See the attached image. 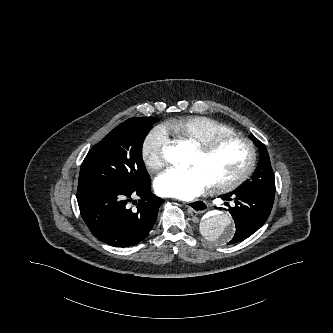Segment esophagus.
I'll list each match as a JSON object with an SVG mask.
<instances>
[{"label": "esophagus", "instance_id": "1", "mask_svg": "<svg viewBox=\"0 0 333 333\" xmlns=\"http://www.w3.org/2000/svg\"><path fill=\"white\" fill-rule=\"evenodd\" d=\"M184 205L193 211L194 213L200 214L207 210V204L201 200H195L191 202H184Z\"/></svg>", "mask_w": 333, "mask_h": 333}]
</instances>
